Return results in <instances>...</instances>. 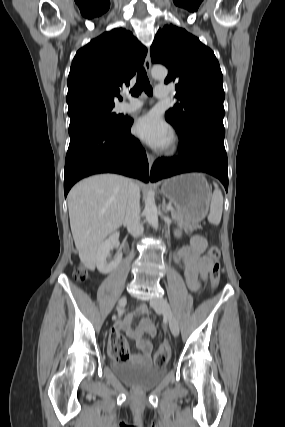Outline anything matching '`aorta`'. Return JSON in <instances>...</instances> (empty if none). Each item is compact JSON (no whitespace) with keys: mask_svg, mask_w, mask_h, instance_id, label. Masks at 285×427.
Wrapping results in <instances>:
<instances>
[{"mask_svg":"<svg viewBox=\"0 0 285 427\" xmlns=\"http://www.w3.org/2000/svg\"><path fill=\"white\" fill-rule=\"evenodd\" d=\"M168 74L167 69L162 65H155L151 70V75L154 79L164 80ZM144 214L146 220L155 228H158V211L155 203L154 195L149 192L145 199Z\"/></svg>","mask_w":285,"mask_h":427,"instance_id":"1","label":"aorta"}]
</instances>
